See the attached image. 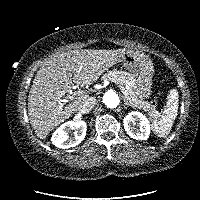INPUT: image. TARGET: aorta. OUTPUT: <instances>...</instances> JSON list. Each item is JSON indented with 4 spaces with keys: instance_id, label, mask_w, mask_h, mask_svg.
<instances>
[{
    "instance_id": "1",
    "label": "aorta",
    "mask_w": 200,
    "mask_h": 200,
    "mask_svg": "<svg viewBox=\"0 0 200 200\" xmlns=\"http://www.w3.org/2000/svg\"><path fill=\"white\" fill-rule=\"evenodd\" d=\"M102 102L106 107L113 109L119 105L120 99L114 91H108L103 95Z\"/></svg>"
}]
</instances>
